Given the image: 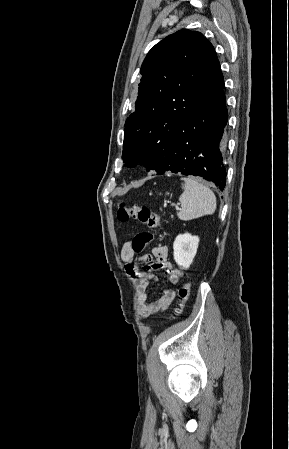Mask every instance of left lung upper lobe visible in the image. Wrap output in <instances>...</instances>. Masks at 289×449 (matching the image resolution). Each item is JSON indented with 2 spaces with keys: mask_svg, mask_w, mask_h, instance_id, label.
Segmentation results:
<instances>
[{
  "mask_svg": "<svg viewBox=\"0 0 289 449\" xmlns=\"http://www.w3.org/2000/svg\"><path fill=\"white\" fill-rule=\"evenodd\" d=\"M212 44L197 31L180 30L156 44L140 73L136 111L125 122L122 158L156 170L167 155L175 126L191 110L216 60Z\"/></svg>",
  "mask_w": 289,
  "mask_h": 449,
  "instance_id": "obj_1",
  "label": "left lung upper lobe"
}]
</instances>
